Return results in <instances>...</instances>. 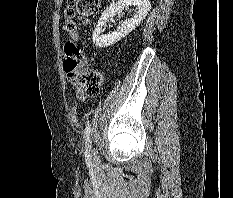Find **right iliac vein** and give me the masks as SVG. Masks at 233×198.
<instances>
[{
	"mask_svg": "<svg viewBox=\"0 0 233 198\" xmlns=\"http://www.w3.org/2000/svg\"><path fill=\"white\" fill-rule=\"evenodd\" d=\"M93 161L96 165H98L100 162L99 157L95 153L93 154Z\"/></svg>",
	"mask_w": 233,
	"mask_h": 198,
	"instance_id": "1",
	"label": "right iliac vein"
}]
</instances>
